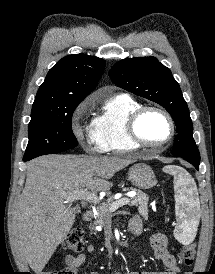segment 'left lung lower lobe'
Segmentation results:
<instances>
[{
  "label": "left lung lower lobe",
  "instance_id": "1",
  "mask_svg": "<svg viewBox=\"0 0 215 274\" xmlns=\"http://www.w3.org/2000/svg\"><path fill=\"white\" fill-rule=\"evenodd\" d=\"M184 159L188 161L189 163H191L197 170L199 169L200 160H194V159H188V158H184Z\"/></svg>",
  "mask_w": 215,
  "mask_h": 274
}]
</instances>
